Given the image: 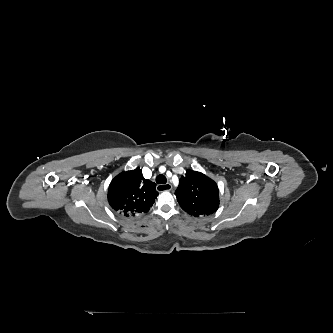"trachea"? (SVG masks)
Masks as SVG:
<instances>
[{
    "instance_id": "trachea-1",
    "label": "trachea",
    "mask_w": 333,
    "mask_h": 333,
    "mask_svg": "<svg viewBox=\"0 0 333 333\" xmlns=\"http://www.w3.org/2000/svg\"><path fill=\"white\" fill-rule=\"evenodd\" d=\"M166 182H167V179L164 175L160 174L156 177L157 184H165Z\"/></svg>"
}]
</instances>
